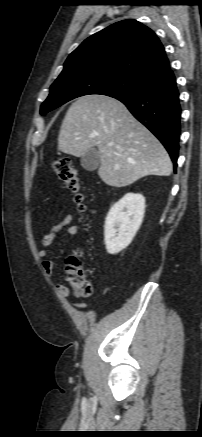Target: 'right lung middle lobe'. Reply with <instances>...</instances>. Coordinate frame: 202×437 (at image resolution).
Listing matches in <instances>:
<instances>
[{
	"label": "right lung middle lobe",
	"instance_id": "obj_1",
	"mask_svg": "<svg viewBox=\"0 0 202 437\" xmlns=\"http://www.w3.org/2000/svg\"><path fill=\"white\" fill-rule=\"evenodd\" d=\"M146 81L113 71L77 69L61 74L50 87L48 98L41 105L42 115L60 105L83 95L101 94L115 96L134 93Z\"/></svg>",
	"mask_w": 202,
	"mask_h": 437
}]
</instances>
